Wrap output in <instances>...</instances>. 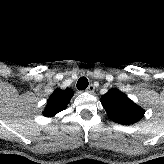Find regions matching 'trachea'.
Here are the masks:
<instances>
[{
  "mask_svg": "<svg viewBox=\"0 0 164 164\" xmlns=\"http://www.w3.org/2000/svg\"><path fill=\"white\" fill-rule=\"evenodd\" d=\"M88 79L86 77H81L77 82V89L78 90H84L88 87Z\"/></svg>",
  "mask_w": 164,
  "mask_h": 164,
  "instance_id": "obj_1",
  "label": "trachea"
}]
</instances>
